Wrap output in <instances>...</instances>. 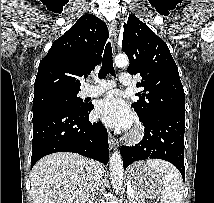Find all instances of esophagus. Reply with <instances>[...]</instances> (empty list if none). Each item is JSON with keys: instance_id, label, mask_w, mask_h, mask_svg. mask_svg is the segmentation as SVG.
Masks as SVG:
<instances>
[{"instance_id": "obj_1", "label": "esophagus", "mask_w": 214, "mask_h": 203, "mask_svg": "<svg viewBox=\"0 0 214 203\" xmlns=\"http://www.w3.org/2000/svg\"><path fill=\"white\" fill-rule=\"evenodd\" d=\"M109 31H110V37L111 42L113 45V48L115 49L116 43H117V23L116 21L112 20L108 23ZM117 145L116 139L112 136L111 133H109V146L110 148H114Z\"/></svg>"}]
</instances>
